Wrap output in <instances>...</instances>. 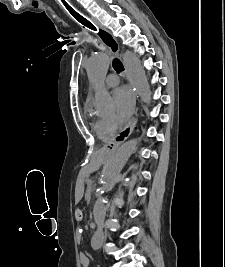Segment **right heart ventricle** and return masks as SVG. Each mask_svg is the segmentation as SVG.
<instances>
[{
	"mask_svg": "<svg viewBox=\"0 0 225 267\" xmlns=\"http://www.w3.org/2000/svg\"><path fill=\"white\" fill-rule=\"evenodd\" d=\"M94 130L97 133V135L102 139H108L111 134L107 133L102 125V119H96L94 122Z\"/></svg>",
	"mask_w": 225,
	"mask_h": 267,
	"instance_id": "1",
	"label": "right heart ventricle"
}]
</instances>
